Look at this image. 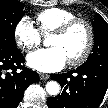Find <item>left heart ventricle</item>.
I'll return each mask as SVG.
<instances>
[{
	"instance_id": "b2bd125f",
	"label": "left heart ventricle",
	"mask_w": 108,
	"mask_h": 108,
	"mask_svg": "<svg viewBox=\"0 0 108 108\" xmlns=\"http://www.w3.org/2000/svg\"><path fill=\"white\" fill-rule=\"evenodd\" d=\"M86 42L87 31L82 25L75 26L66 35H52L49 40V44L59 47L68 60L78 56L83 51Z\"/></svg>"
}]
</instances>
